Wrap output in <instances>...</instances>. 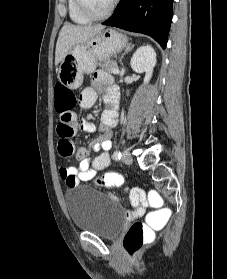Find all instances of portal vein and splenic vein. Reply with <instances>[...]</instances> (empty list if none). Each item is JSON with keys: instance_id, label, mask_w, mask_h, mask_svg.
Returning a JSON list of instances; mask_svg holds the SVG:
<instances>
[{"instance_id": "18ae733b", "label": "portal vein and splenic vein", "mask_w": 227, "mask_h": 279, "mask_svg": "<svg viewBox=\"0 0 227 279\" xmlns=\"http://www.w3.org/2000/svg\"><path fill=\"white\" fill-rule=\"evenodd\" d=\"M112 72H113V74H119L120 70L118 68H113Z\"/></svg>"}]
</instances>
